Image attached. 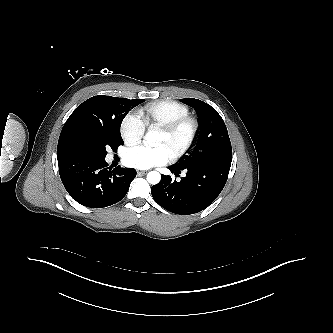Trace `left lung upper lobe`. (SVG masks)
<instances>
[{
    "mask_svg": "<svg viewBox=\"0 0 333 333\" xmlns=\"http://www.w3.org/2000/svg\"><path fill=\"white\" fill-rule=\"evenodd\" d=\"M181 101L195 109L199 117L200 132L193 151L175 165L188 167L202 162L231 164L232 147L226 125L219 113L207 103L185 98Z\"/></svg>",
    "mask_w": 333,
    "mask_h": 333,
    "instance_id": "1",
    "label": "left lung upper lobe"
}]
</instances>
